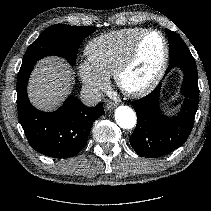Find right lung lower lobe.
<instances>
[{
	"label": "right lung lower lobe",
	"instance_id": "1",
	"mask_svg": "<svg viewBox=\"0 0 211 211\" xmlns=\"http://www.w3.org/2000/svg\"><path fill=\"white\" fill-rule=\"evenodd\" d=\"M36 62L21 66L17 79V108L30 146L52 158L75 156L87 143L93 122L104 114L103 104L87 107L69 96L54 112L34 108L27 97V82Z\"/></svg>",
	"mask_w": 211,
	"mask_h": 211
}]
</instances>
